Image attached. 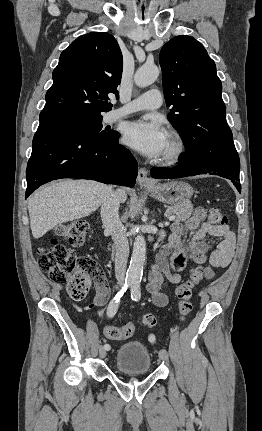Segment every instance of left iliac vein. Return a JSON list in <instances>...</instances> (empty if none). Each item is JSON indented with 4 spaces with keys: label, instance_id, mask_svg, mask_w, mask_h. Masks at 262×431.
<instances>
[{
    "label": "left iliac vein",
    "instance_id": "left-iliac-vein-1",
    "mask_svg": "<svg viewBox=\"0 0 262 431\" xmlns=\"http://www.w3.org/2000/svg\"><path fill=\"white\" fill-rule=\"evenodd\" d=\"M159 359L161 361H167L168 360V352L166 351V349H161L159 351Z\"/></svg>",
    "mask_w": 262,
    "mask_h": 431
}]
</instances>
